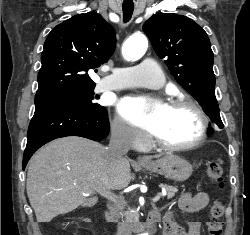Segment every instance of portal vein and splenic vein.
<instances>
[{
  "instance_id": "1",
  "label": "portal vein and splenic vein",
  "mask_w": 250,
  "mask_h": 235,
  "mask_svg": "<svg viewBox=\"0 0 250 235\" xmlns=\"http://www.w3.org/2000/svg\"><path fill=\"white\" fill-rule=\"evenodd\" d=\"M99 193L107 198H112V195L109 191H100ZM160 197H161V194H158L152 199V201L155 203V202L159 201Z\"/></svg>"
}]
</instances>
